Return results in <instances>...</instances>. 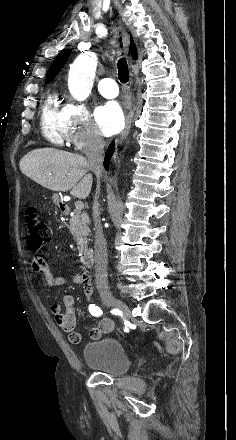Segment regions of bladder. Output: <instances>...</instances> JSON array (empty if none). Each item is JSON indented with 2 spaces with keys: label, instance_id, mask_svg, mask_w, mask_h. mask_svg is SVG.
Masks as SVG:
<instances>
[{
  "label": "bladder",
  "instance_id": "31cf9c89",
  "mask_svg": "<svg viewBox=\"0 0 236 440\" xmlns=\"http://www.w3.org/2000/svg\"><path fill=\"white\" fill-rule=\"evenodd\" d=\"M86 364L108 374L124 373L129 358L122 343L115 338H103L87 343L83 349Z\"/></svg>",
  "mask_w": 236,
  "mask_h": 440
}]
</instances>
